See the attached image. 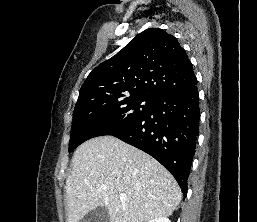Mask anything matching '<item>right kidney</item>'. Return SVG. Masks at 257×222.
<instances>
[{
	"label": "right kidney",
	"mask_w": 257,
	"mask_h": 222,
	"mask_svg": "<svg viewBox=\"0 0 257 222\" xmlns=\"http://www.w3.org/2000/svg\"><path fill=\"white\" fill-rule=\"evenodd\" d=\"M148 222H171L167 217H159L152 220H149Z\"/></svg>",
	"instance_id": "1"
}]
</instances>
